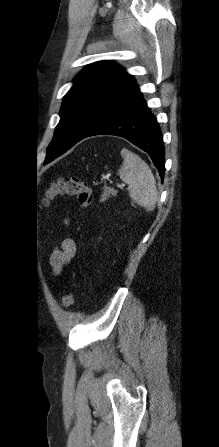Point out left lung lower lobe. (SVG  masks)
I'll list each match as a JSON object with an SVG mask.
<instances>
[{"instance_id": "0a47b994", "label": "left lung lower lobe", "mask_w": 219, "mask_h": 447, "mask_svg": "<svg viewBox=\"0 0 219 447\" xmlns=\"http://www.w3.org/2000/svg\"><path fill=\"white\" fill-rule=\"evenodd\" d=\"M100 134L123 137L141 148L149 154L159 171L161 179H163L165 160L161 130L156 118L150 113L136 84L85 138ZM54 158L45 160L44 163L46 164Z\"/></svg>"}]
</instances>
